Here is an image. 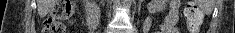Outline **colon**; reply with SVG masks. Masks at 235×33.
<instances>
[{
    "label": "colon",
    "instance_id": "colon-1",
    "mask_svg": "<svg viewBox=\"0 0 235 33\" xmlns=\"http://www.w3.org/2000/svg\"><path fill=\"white\" fill-rule=\"evenodd\" d=\"M73 12L70 0L57 1L44 23L43 33H64L65 27L62 21H69ZM184 16L190 32L196 33L202 21L201 10L195 3L190 2L185 7Z\"/></svg>",
    "mask_w": 235,
    "mask_h": 33
}]
</instances>
